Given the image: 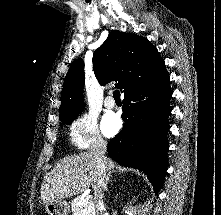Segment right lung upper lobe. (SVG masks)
Wrapping results in <instances>:
<instances>
[{
  "instance_id": "obj_1",
  "label": "right lung upper lobe",
  "mask_w": 221,
  "mask_h": 215,
  "mask_svg": "<svg viewBox=\"0 0 221 215\" xmlns=\"http://www.w3.org/2000/svg\"><path fill=\"white\" fill-rule=\"evenodd\" d=\"M165 69L157 49L135 34L112 30L105 42L93 54V70L98 82L105 85L117 81L124 94L137 88ZM84 63L76 59L64 79L61 94L60 119L82 111L84 107Z\"/></svg>"
}]
</instances>
